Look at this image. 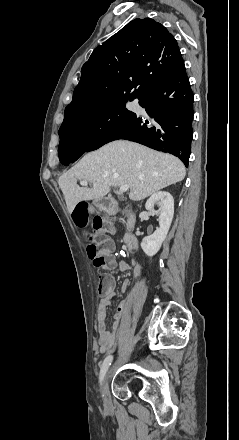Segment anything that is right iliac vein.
I'll return each mask as SVG.
<instances>
[{
	"label": "right iliac vein",
	"mask_w": 239,
	"mask_h": 440,
	"mask_svg": "<svg viewBox=\"0 0 239 440\" xmlns=\"http://www.w3.org/2000/svg\"><path fill=\"white\" fill-rule=\"evenodd\" d=\"M112 368L108 371L105 380H104V384H103V393L105 395V399H107L108 395H109V387H108V380L111 374Z\"/></svg>",
	"instance_id": "obj_1"
}]
</instances>
